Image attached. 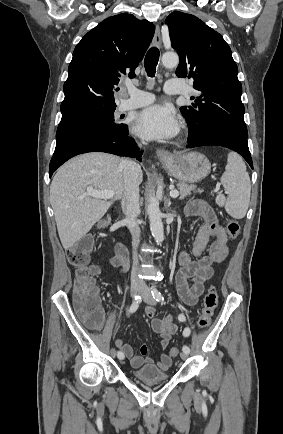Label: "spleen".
Here are the masks:
<instances>
[{
	"instance_id": "obj_1",
	"label": "spleen",
	"mask_w": 283,
	"mask_h": 434,
	"mask_svg": "<svg viewBox=\"0 0 283 434\" xmlns=\"http://www.w3.org/2000/svg\"><path fill=\"white\" fill-rule=\"evenodd\" d=\"M221 182L227 198L220 194L216 197V203L224 207L233 218H243L249 207L251 183L246 165L238 154L233 152L228 154Z\"/></svg>"
}]
</instances>
